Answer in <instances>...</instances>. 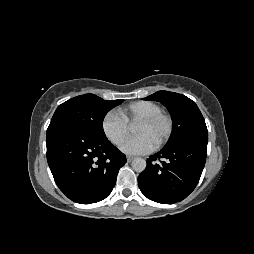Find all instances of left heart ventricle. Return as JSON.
<instances>
[{
  "label": "left heart ventricle",
  "instance_id": "obj_1",
  "mask_svg": "<svg viewBox=\"0 0 254 254\" xmlns=\"http://www.w3.org/2000/svg\"><path fill=\"white\" fill-rule=\"evenodd\" d=\"M166 130V121L159 120L150 125L138 123L135 128V133L137 135H146L156 145L164 137Z\"/></svg>",
  "mask_w": 254,
  "mask_h": 254
}]
</instances>
